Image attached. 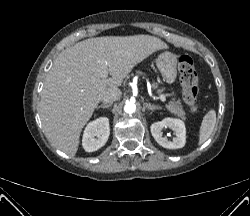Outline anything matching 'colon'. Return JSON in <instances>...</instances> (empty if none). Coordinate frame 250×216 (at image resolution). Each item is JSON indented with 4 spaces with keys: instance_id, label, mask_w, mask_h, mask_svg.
I'll use <instances>...</instances> for the list:
<instances>
[{
    "instance_id": "obj_1",
    "label": "colon",
    "mask_w": 250,
    "mask_h": 216,
    "mask_svg": "<svg viewBox=\"0 0 250 216\" xmlns=\"http://www.w3.org/2000/svg\"><path fill=\"white\" fill-rule=\"evenodd\" d=\"M178 69L182 86L183 100L193 112L197 110L199 95L198 75L191 57L183 55L179 58Z\"/></svg>"
}]
</instances>
